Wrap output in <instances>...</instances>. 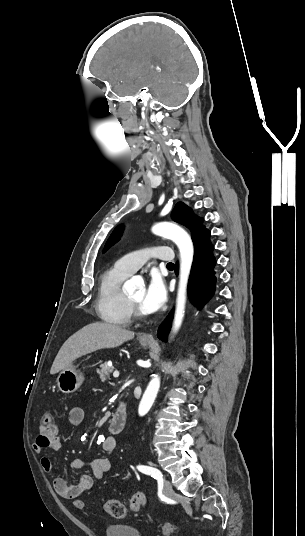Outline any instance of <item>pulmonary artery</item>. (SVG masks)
Returning <instances> with one entry per match:
<instances>
[{"label": "pulmonary artery", "instance_id": "1", "mask_svg": "<svg viewBox=\"0 0 305 536\" xmlns=\"http://www.w3.org/2000/svg\"><path fill=\"white\" fill-rule=\"evenodd\" d=\"M156 244H153V246H149L148 250L146 248H142L140 250V253L142 255H146L149 253H156L157 256H153L154 258H158L163 263H170L173 260L172 257V247L170 245H160L155 250ZM137 252H132L127 254L126 256L122 257L115 263V267L120 270L121 272L132 275L135 273L142 265H144L151 257L149 256H138Z\"/></svg>", "mask_w": 305, "mask_h": 536}]
</instances>
